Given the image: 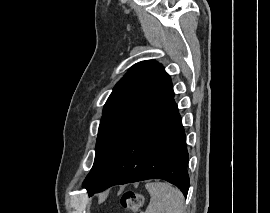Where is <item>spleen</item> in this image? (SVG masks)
Instances as JSON below:
<instances>
[{
    "instance_id": "3e777b00",
    "label": "spleen",
    "mask_w": 270,
    "mask_h": 213,
    "mask_svg": "<svg viewBox=\"0 0 270 213\" xmlns=\"http://www.w3.org/2000/svg\"><path fill=\"white\" fill-rule=\"evenodd\" d=\"M151 199L143 213H183L184 196L182 192L165 182L146 184Z\"/></svg>"
}]
</instances>
